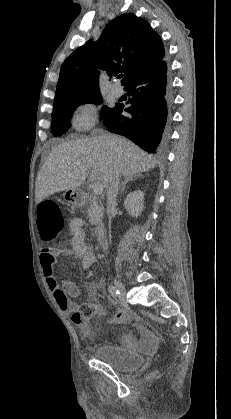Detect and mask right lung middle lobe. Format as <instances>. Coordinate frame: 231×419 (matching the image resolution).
I'll return each mask as SVG.
<instances>
[{
	"label": "right lung middle lobe",
	"instance_id": "obj_1",
	"mask_svg": "<svg viewBox=\"0 0 231 419\" xmlns=\"http://www.w3.org/2000/svg\"><path fill=\"white\" fill-rule=\"evenodd\" d=\"M102 102V97L100 92L93 93L90 95L65 99L54 103L53 112H52V133L53 135L60 136L64 134L69 127L71 126V117L74 110L81 104L84 103H95L100 104ZM113 108H108L104 106L101 109V115L104 118L107 116Z\"/></svg>",
	"mask_w": 231,
	"mask_h": 419
}]
</instances>
